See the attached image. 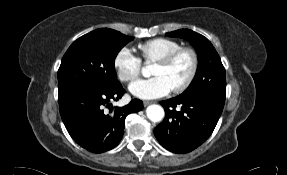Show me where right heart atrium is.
<instances>
[{
	"mask_svg": "<svg viewBox=\"0 0 287 175\" xmlns=\"http://www.w3.org/2000/svg\"><path fill=\"white\" fill-rule=\"evenodd\" d=\"M114 67L121 81L131 82L140 75L142 61L131 48L124 46L114 57Z\"/></svg>",
	"mask_w": 287,
	"mask_h": 175,
	"instance_id": "obj_1",
	"label": "right heart atrium"
}]
</instances>
